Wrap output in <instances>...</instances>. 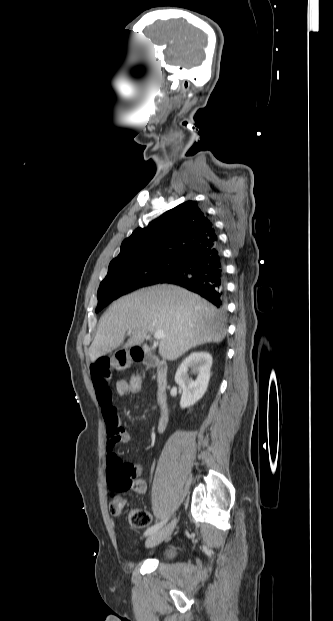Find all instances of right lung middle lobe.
<instances>
[{
    "mask_svg": "<svg viewBox=\"0 0 333 621\" xmlns=\"http://www.w3.org/2000/svg\"><path fill=\"white\" fill-rule=\"evenodd\" d=\"M182 263L179 257H160L109 264L108 274L98 290L96 312L124 294L162 282L176 273Z\"/></svg>",
    "mask_w": 333,
    "mask_h": 621,
    "instance_id": "obj_1",
    "label": "right lung middle lobe"
}]
</instances>
